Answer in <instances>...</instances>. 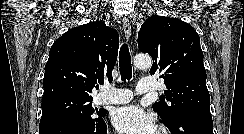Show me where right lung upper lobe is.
Instances as JSON below:
<instances>
[{
    "instance_id": "cb5924a9",
    "label": "right lung upper lobe",
    "mask_w": 244,
    "mask_h": 134,
    "mask_svg": "<svg viewBox=\"0 0 244 134\" xmlns=\"http://www.w3.org/2000/svg\"><path fill=\"white\" fill-rule=\"evenodd\" d=\"M119 37L102 21L75 27L59 37L45 65L42 100L69 96L93 99L95 83L112 80Z\"/></svg>"
}]
</instances>
